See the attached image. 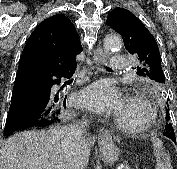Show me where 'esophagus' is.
I'll list each match as a JSON object with an SVG mask.
<instances>
[{
  "label": "esophagus",
  "instance_id": "obj_1",
  "mask_svg": "<svg viewBox=\"0 0 177 169\" xmlns=\"http://www.w3.org/2000/svg\"><path fill=\"white\" fill-rule=\"evenodd\" d=\"M106 61V55L103 52L101 47H98L94 51L93 55V63L96 69H100L101 65ZM112 137V133L109 132L107 129L102 128L99 132V139L105 140Z\"/></svg>",
  "mask_w": 177,
  "mask_h": 169
}]
</instances>
